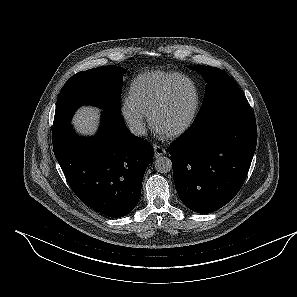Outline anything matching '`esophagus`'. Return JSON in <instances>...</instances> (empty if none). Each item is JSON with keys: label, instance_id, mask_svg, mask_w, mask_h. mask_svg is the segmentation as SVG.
<instances>
[{"label": "esophagus", "instance_id": "obj_1", "mask_svg": "<svg viewBox=\"0 0 297 297\" xmlns=\"http://www.w3.org/2000/svg\"><path fill=\"white\" fill-rule=\"evenodd\" d=\"M153 147H154V153L156 157L162 156L166 153V150L160 145L155 144Z\"/></svg>", "mask_w": 297, "mask_h": 297}]
</instances>
